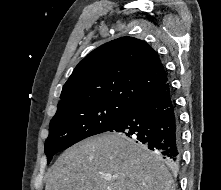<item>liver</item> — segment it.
I'll return each instance as SVG.
<instances>
[{
	"label": "liver",
	"instance_id": "liver-1",
	"mask_svg": "<svg viewBox=\"0 0 221 190\" xmlns=\"http://www.w3.org/2000/svg\"><path fill=\"white\" fill-rule=\"evenodd\" d=\"M150 154L122 134L85 139L48 170L45 190H174L168 169Z\"/></svg>",
	"mask_w": 221,
	"mask_h": 190
}]
</instances>
